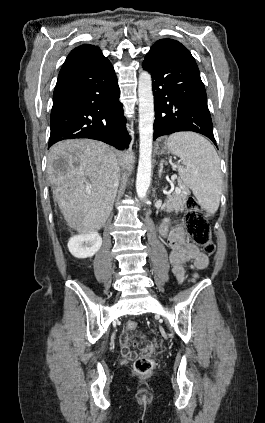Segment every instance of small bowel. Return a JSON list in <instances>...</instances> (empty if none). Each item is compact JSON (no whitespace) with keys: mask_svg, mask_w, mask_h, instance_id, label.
I'll use <instances>...</instances> for the list:
<instances>
[{"mask_svg":"<svg viewBox=\"0 0 265 423\" xmlns=\"http://www.w3.org/2000/svg\"><path fill=\"white\" fill-rule=\"evenodd\" d=\"M159 231L166 244L171 249L170 262L173 267L174 275L179 282L184 280L183 264L185 262H192L198 270H203L208 267L209 260L207 256L195 245L186 241L182 226L179 225L169 231L166 223H163ZM197 277V274H195L192 280L195 281ZM120 347L125 358L131 359L134 357L135 352L131 350L129 335L125 331H123L120 336Z\"/></svg>","mask_w":265,"mask_h":423,"instance_id":"1","label":"small bowel"}]
</instances>
